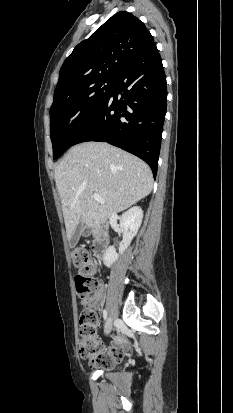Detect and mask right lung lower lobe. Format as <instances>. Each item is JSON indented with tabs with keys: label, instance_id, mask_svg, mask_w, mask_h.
Segmentation results:
<instances>
[{
	"label": "right lung lower lobe",
	"instance_id": "right-lung-lower-lobe-1",
	"mask_svg": "<svg viewBox=\"0 0 233 413\" xmlns=\"http://www.w3.org/2000/svg\"><path fill=\"white\" fill-rule=\"evenodd\" d=\"M166 102V76L153 43L119 70L112 94L72 145L106 141L143 159L156 177Z\"/></svg>",
	"mask_w": 233,
	"mask_h": 413
}]
</instances>
